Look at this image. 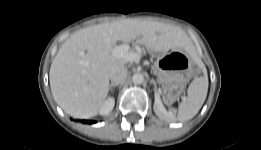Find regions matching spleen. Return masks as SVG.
<instances>
[{"label":"spleen","mask_w":261,"mask_h":150,"mask_svg":"<svg viewBox=\"0 0 261 150\" xmlns=\"http://www.w3.org/2000/svg\"><path fill=\"white\" fill-rule=\"evenodd\" d=\"M208 91V76H196L190 83L187 97L182 100L178 107L177 120L187 121L192 119L202 107Z\"/></svg>","instance_id":"obj_1"}]
</instances>
